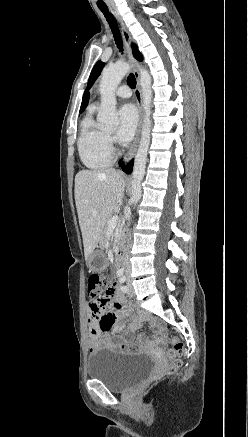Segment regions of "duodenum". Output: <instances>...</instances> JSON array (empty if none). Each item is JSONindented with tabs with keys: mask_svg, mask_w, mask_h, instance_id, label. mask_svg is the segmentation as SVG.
Here are the masks:
<instances>
[{
	"mask_svg": "<svg viewBox=\"0 0 248 437\" xmlns=\"http://www.w3.org/2000/svg\"><path fill=\"white\" fill-rule=\"evenodd\" d=\"M125 251H126V247H125L124 244H120L117 247V251H116V260H117V263H121L122 262V260L124 258V255H125Z\"/></svg>",
	"mask_w": 248,
	"mask_h": 437,
	"instance_id": "duodenum-1",
	"label": "duodenum"
}]
</instances>
